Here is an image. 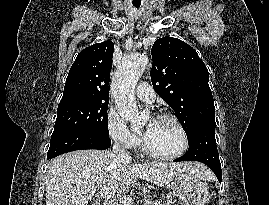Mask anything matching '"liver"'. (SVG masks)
I'll return each mask as SVG.
<instances>
[{"label": "liver", "mask_w": 269, "mask_h": 205, "mask_svg": "<svg viewBox=\"0 0 269 205\" xmlns=\"http://www.w3.org/2000/svg\"><path fill=\"white\" fill-rule=\"evenodd\" d=\"M191 173L212 180L209 169L198 162L132 163L111 151L79 150L53 159L47 170L46 205H88L97 189L106 185L119 195L136 184L139 177L164 186L177 175Z\"/></svg>", "instance_id": "liver-1"}]
</instances>
